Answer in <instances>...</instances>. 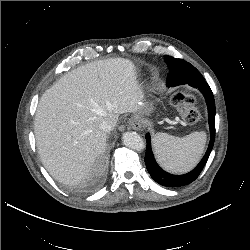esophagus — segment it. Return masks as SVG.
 <instances>
[{"mask_svg":"<svg viewBox=\"0 0 250 250\" xmlns=\"http://www.w3.org/2000/svg\"><path fill=\"white\" fill-rule=\"evenodd\" d=\"M129 125L134 130H140L142 128V126H143L140 119L138 117H135V116L130 118Z\"/></svg>","mask_w":250,"mask_h":250,"instance_id":"1","label":"esophagus"}]
</instances>
